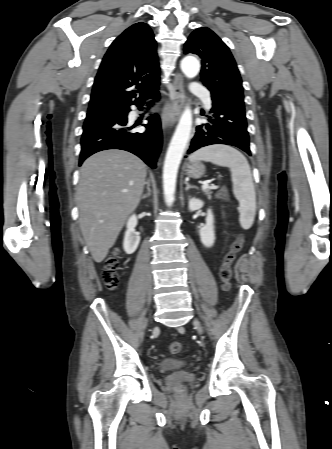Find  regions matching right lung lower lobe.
Instances as JSON below:
<instances>
[{
  "instance_id": "1",
  "label": "right lung lower lobe",
  "mask_w": 332,
  "mask_h": 449,
  "mask_svg": "<svg viewBox=\"0 0 332 449\" xmlns=\"http://www.w3.org/2000/svg\"><path fill=\"white\" fill-rule=\"evenodd\" d=\"M158 99V91L153 93ZM144 101L135 102L142 109ZM131 111L130 105L120 112H109L100 116L86 119L81 138V153L79 165L90 155L107 149H121L129 151L151 168L156 167L162 145L161 122L157 114L147 117L148 124H143L146 131L134 132V126H128L127 115Z\"/></svg>"
}]
</instances>
